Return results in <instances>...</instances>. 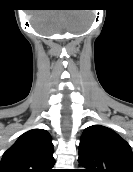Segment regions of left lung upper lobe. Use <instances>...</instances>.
<instances>
[{
  "instance_id": "1",
  "label": "left lung upper lobe",
  "mask_w": 133,
  "mask_h": 172,
  "mask_svg": "<svg viewBox=\"0 0 133 172\" xmlns=\"http://www.w3.org/2000/svg\"><path fill=\"white\" fill-rule=\"evenodd\" d=\"M78 162L85 167L80 172H133L130 145L101 125H92L83 131Z\"/></svg>"
}]
</instances>
